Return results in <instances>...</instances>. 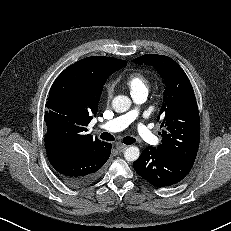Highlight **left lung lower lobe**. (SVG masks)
<instances>
[{
	"label": "left lung lower lobe",
	"instance_id": "1",
	"mask_svg": "<svg viewBox=\"0 0 231 231\" xmlns=\"http://www.w3.org/2000/svg\"><path fill=\"white\" fill-rule=\"evenodd\" d=\"M194 162L166 156L153 147L143 150L133 163L135 171L156 187H167L180 182L190 172Z\"/></svg>",
	"mask_w": 231,
	"mask_h": 231
}]
</instances>
